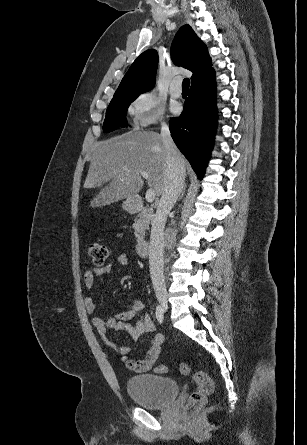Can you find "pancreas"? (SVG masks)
I'll list each match as a JSON object with an SVG mask.
<instances>
[{
  "mask_svg": "<svg viewBox=\"0 0 307 445\" xmlns=\"http://www.w3.org/2000/svg\"><path fill=\"white\" fill-rule=\"evenodd\" d=\"M153 220V210L148 206H141L139 214L134 218V235L137 241H143L145 237L146 229H149V225Z\"/></svg>",
  "mask_w": 307,
  "mask_h": 445,
  "instance_id": "1",
  "label": "pancreas"
}]
</instances>
